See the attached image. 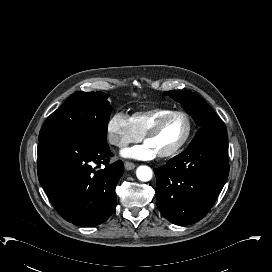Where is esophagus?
Segmentation results:
<instances>
[{"label": "esophagus", "instance_id": "obj_1", "mask_svg": "<svg viewBox=\"0 0 272 272\" xmlns=\"http://www.w3.org/2000/svg\"><path fill=\"white\" fill-rule=\"evenodd\" d=\"M124 167L126 170H132L135 168V164L129 161L124 162Z\"/></svg>", "mask_w": 272, "mask_h": 272}]
</instances>
